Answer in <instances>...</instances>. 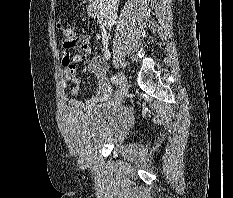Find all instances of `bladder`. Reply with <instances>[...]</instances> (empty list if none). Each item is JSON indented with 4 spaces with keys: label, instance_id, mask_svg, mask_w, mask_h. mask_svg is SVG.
I'll use <instances>...</instances> for the list:
<instances>
[{
    "label": "bladder",
    "instance_id": "1",
    "mask_svg": "<svg viewBox=\"0 0 233 198\" xmlns=\"http://www.w3.org/2000/svg\"><path fill=\"white\" fill-rule=\"evenodd\" d=\"M133 121L120 104H104L90 112L68 110L62 121L67 142L80 154L106 144L116 145Z\"/></svg>",
    "mask_w": 233,
    "mask_h": 198
}]
</instances>
